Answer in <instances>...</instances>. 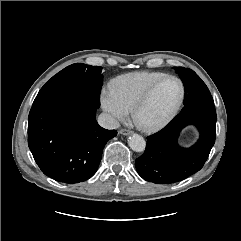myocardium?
Wrapping results in <instances>:
<instances>
[{"mask_svg": "<svg viewBox=\"0 0 241 241\" xmlns=\"http://www.w3.org/2000/svg\"><path fill=\"white\" fill-rule=\"evenodd\" d=\"M167 79H173L176 80L179 85H180V96L179 99L177 101V103L174 105V107L160 120L155 121V122H151V123H144L141 122L138 118V114L140 112V110L147 104V102L150 100L152 94L154 93V91L156 90V88L165 80ZM185 98V86L183 81L175 76V75H165L161 78H159L158 80H156L155 82H153L146 90L145 92L140 96V98L135 102V104L133 105L132 109H131V115H132V119L134 121V123L142 130L145 131H155L158 130L162 127H164L166 124H168L178 113V111L180 110L183 101Z\"/></svg>", "mask_w": 241, "mask_h": 241, "instance_id": "1", "label": "myocardium"}]
</instances>
